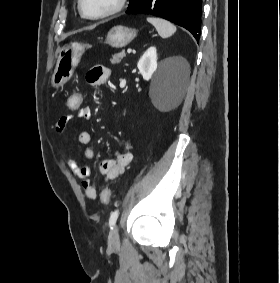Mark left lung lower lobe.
I'll use <instances>...</instances> for the list:
<instances>
[{"label":"left lung lower lobe","mask_w":280,"mask_h":283,"mask_svg":"<svg viewBox=\"0 0 280 283\" xmlns=\"http://www.w3.org/2000/svg\"><path fill=\"white\" fill-rule=\"evenodd\" d=\"M202 0H137L127 14H152L187 29L200 38Z\"/></svg>","instance_id":"0a47b994"}]
</instances>
